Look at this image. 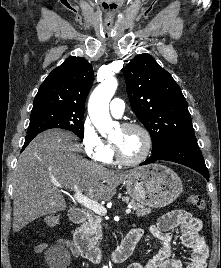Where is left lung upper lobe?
Segmentation results:
<instances>
[{
	"mask_svg": "<svg viewBox=\"0 0 221 268\" xmlns=\"http://www.w3.org/2000/svg\"><path fill=\"white\" fill-rule=\"evenodd\" d=\"M124 78L131 108L152 138V153L176 138L195 135L180 87L151 55L133 58Z\"/></svg>",
	"mask_w": 221,
	"mask_h": 268,
	"instance_id": "5c2ea615",
	"label": "left lung upper lobe"
}]
</instances>
